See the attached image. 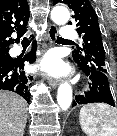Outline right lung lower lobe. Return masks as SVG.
Here are the masks:
<instances>
[{"label":"right lung lower lobe","instance_id":"1","mask_svg":"<svg viewBox=\"0 0 117 136\" xmlns=\"http://www.w3.org/2000/svg\"><path fill=\"white\" fill-rule=\"evenodd\" d=\"M35 60L31 55L22 59H1L0 60V90H10L22 96L26 101H30V81L31 77L26 76L24 62L32 63Z\"/></svg>","mask_w":117,"mask_h":136}]
</instances>
